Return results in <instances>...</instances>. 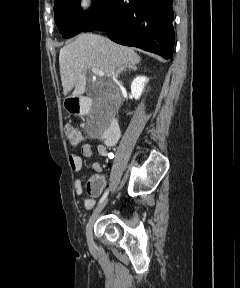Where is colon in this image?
I'll return each instance as SVG.
<instances>
[{
	"instance_id": "colon-1",
	"label": "colon",
	"mask_w": 240,
	"mask_h": 288,
	"mask_svg": "<svg viewBox=\"0 0 240 288\" xmlns=\"http://www.w3.org/2000/svg\"><path fill=\"white\" fill-rule=\"evenodd\" d=\"M64 132L68 143L72 147H76L81 143L82 141L81 133L71 123H66L64 125ZM98 188H99L98 183L94 179H90L86 184V192L89 195H94L98 191Z\"/></svg>"
}]
</instances>
